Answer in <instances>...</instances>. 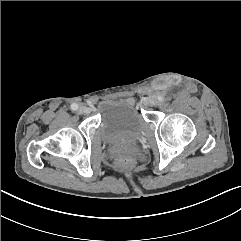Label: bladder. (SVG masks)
Returning a JSON list of instances; mask_svg holds the SVG:
<instances>
[{
  "label": "bladder",
  "mask_w": 241,
  "mask_h": 241,
  "mask_svg": "<svg viewBox=\"0 0 241 241\" xmlns=\"http://www.w3.org/2000/svg\"><path fill=\"white\" fill-rule=\"evenodd\" d=\"M99 111L98 130L106 143L134 147L142 140L146 123L131 102L123 99L105 101Z\"/></svg>",
  "instance_id": "bladder-1"
}]
</instances>
